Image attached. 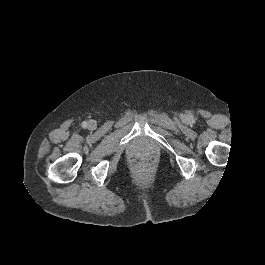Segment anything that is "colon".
Listing matches in <instances>:
<instances>
[{"label":"colon","mask_w":265,"mask_h":265,"mask_svg":"<svg viewBox=\"0 0 265 265\" xmlns=\"http://www.w3.org/2000/svg\"><path fill=\"white\" fill-rule=\"evenodd\" d=\"M139 167H140V168H144V164H140Z\"/></svg>","instance_id":"obj_1"}]
</instances>
